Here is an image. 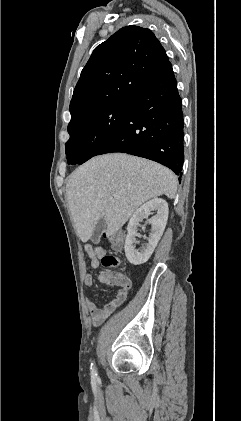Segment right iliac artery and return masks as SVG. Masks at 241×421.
<instances>
[{
  "instance_id": "82829eb1",
  "label": "right iliac artery",
  "mask_w": 241,
  "mask_h": 421,
  "mask_svg": "<svg viewBox=\"0 0 241 421\" xmlns=\"http://www.w3.org/2000/svg\"><path fill=\"white\" fill-rule=\"evenodd\" d=\"M91 374L93 378L97 377V371L95 369V367L93 366V364H91Z\"/></svg>"
}]
</instances>
